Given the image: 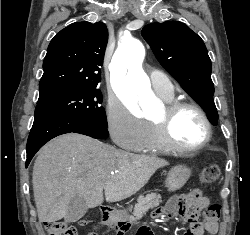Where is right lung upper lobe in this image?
Segmentation results:
<instances>
[{"mask_svg":"<svg viewBox=\"0 0 250 235\" xmlns=\"http://www.w3.org/2000/svg\"><path fill=\"white\" fill-rule=\"evenodd\" d=\"M107 41L102 22H75L56 34L43 62L39 97L97 86Z\"/></svg>","mask_w":250,"mask_h":235,"instance_id":"right-lung-upper-lobe-1","label":"right lung upper lobe"}]
</instances>
